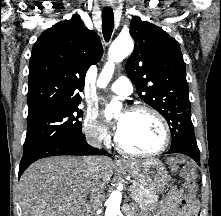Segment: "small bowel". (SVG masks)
<instances>
[{
    "label": "small bowel",
    "mask_w": 221,
    "mask_h": 216,
    "mask_svg": "<svg viewBox=\"0 0 221 216\" xmlns=\"http://www.w3.org/2000/svg\"><path fill=\"white\" fill-rule=\"evenodd\" d=\"M197 208L187 209L179 206V193L172 189L166 199L160 204L155 216H196Z\"/></svg>",
    "instance_id": "small-bowel-1"
}]
</instances>
